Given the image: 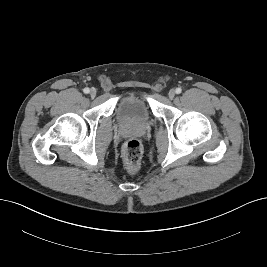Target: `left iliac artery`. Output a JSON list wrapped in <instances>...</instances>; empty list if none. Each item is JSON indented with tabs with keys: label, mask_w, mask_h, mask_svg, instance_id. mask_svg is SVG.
<instances>
[{
	"label": "left iliac artery",
	"mask_w": 267,
	"mask_h": 267,
	"mask_svg": "<svg viewBox=\"0 0 267 267\" xmlns=\"http://www.w3.org/2000/svg\"><path fill=\"white\" fill-rule=\"evenodd\" d=\"M175 92H176L177 94H180V93L182 92V89L178 87V88H176Z\"/></svg>",
	"instance_id": "44dca946"
}]
</instances>
